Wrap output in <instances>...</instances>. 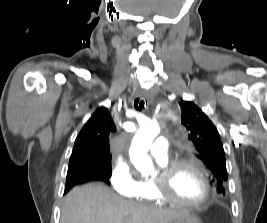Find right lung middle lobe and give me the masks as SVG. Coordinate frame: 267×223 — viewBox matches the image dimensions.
Wrapping results in <instances>:
<instances>
[{
	"instance_id": "1",
	"label": "right lung middle lobe",
	"mask_w": 267,
	"mask_h": 223,
	"mask_svg": "<svg viewBox=\"0 0 267 223\" xmlns=\"http://www.w3.org/2000/svg\"><path fill=\"white\" fill-rule=\"evenodd\" d=\"M91 167L92 166L84 162L74 163L72 165H69L67 175H71L79 171H89ZM110 169H111V166H110ZM111 174H112V170L110 171L108 175H104L107 178V181H108V178L111 176Z\"/></svg>"
}]
</instances>
